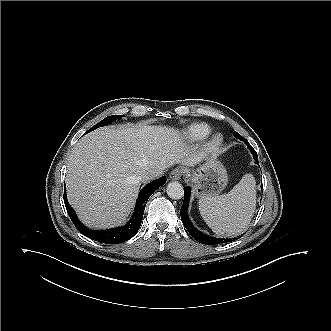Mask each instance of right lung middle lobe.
Wrapping results in <instances>:
<instances>
[{"label":"right lung middle lobe","instance_id":"right-lung-middle-lobe-1","mask_svg":"<svg viewBox=\"0 0 331 331\" xmlns=\"http://www.w3.org/2000/svg\"><path fill=\"white\" fill-rule=\"evenodd\" d=\"M122 117V115H112V116H108L106 118H104L102 121H100L98 124H96L95 126H93L91 129H89L86 133L98 128V127H102V126H106L109 125L111 122L120 119Z\"/></svg>","mask_w":331,"mask_h":331}]
</instances>
